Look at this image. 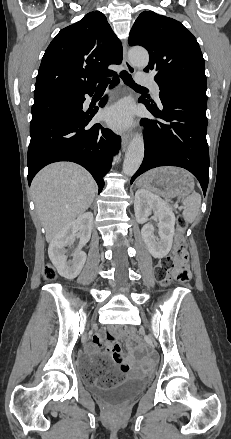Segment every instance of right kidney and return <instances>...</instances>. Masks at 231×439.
<instances>
[{"label": "right kidney", "instance_id": "right-kidney-1", "mask_svg": "<svg viewBox=\"0 0 231 439\" xmlns=\"http://www.w3.org/2000/svg\"><path fill=\"white\" fill-rule=\"evenodd\" d=\"M92 224L93 214L91 212L82 214L62 228L49 245L48 255L51 262L58 273L68 280L76 278L85 264L86 253L82 251V247L90 240ZM79 230L81 231L79 245L70 255L72 258L68 259L67 247L72 245Z\"/></svg>", "mask_w": 231, "mask_h": 439}]
</instances>
